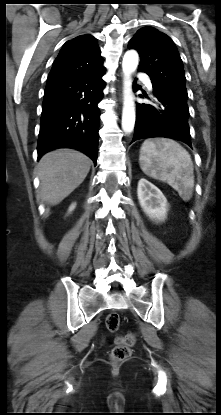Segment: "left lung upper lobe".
I'll list each match as a JSON object with an SVG mask.
<instances>
[{
	"label": "left lung upper lobe",
	"mask_w": 221,
	"mask_h": 415,
	"mask_svg": "<svg viewBox=\"0 0 221 415\" xmlns=\"http://www.w3.org/2000/svg\"><path fill=\"white\" fill-rule=\"evenodd\" d=\"M128 48L138 51V70L150 76L153 87L187 95L183 63L169 36L153 27H143L130 40Z\"/></svg>",
	"instance_id": "obj_1"
}]
</instances>
